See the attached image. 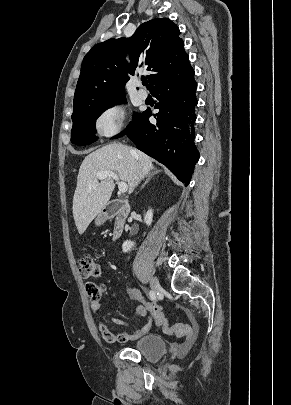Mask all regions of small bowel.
Segmentation results:
<instances>
[{
  "mask_svg": "<svg viewBox=\"0 0 291 405\" xmlns=\"http://www.w3.org/2000/svg\"><path fill=\"white\" fill-rule=\"evenodd\" d=\"M92 308L93 310H97L99 308V301H94L92 302ZM148 309L144 303L142 305H139L135 311L136 315L140 317H145L147 315ZM189 317H191V314L188 313ZM112 321L118 325V326H124V321L119 319V318H112ZM98 329L103 337V339L108 342V343H124L130 340H136L143 335L147 334L150 329H151V320H149L143 327L140 329L134 330L132 332H118V333H113L111 332L107 326L99 322L98 324Z\"/></svg>",
  "mask_w": 291,
  "mask_h": 405,
  "instance_id": "obj_1",
  "label": "small bowel"
}]
</instances>
